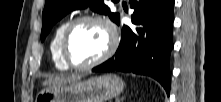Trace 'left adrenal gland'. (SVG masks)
I'll return each instance as SVG.
<instances>
[{"mask_svg": "<svg viewBox=\"0 0 221 102\" xmlns=\"http://www.w3.org/2000/svg\"><path fill=\"white\" fill-rule=\"evenodd\" d=\"M124 98H121L120 100L117 99L116 102H123Z\"/></svg>", "mask_w": 221, "mask_h": 102, "instance_id": "obj_1", "label": "left adrenal gland"}]
</instances>
